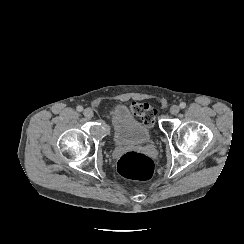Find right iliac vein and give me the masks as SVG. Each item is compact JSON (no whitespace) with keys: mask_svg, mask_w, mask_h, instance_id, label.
<instances>
[{"mask_svg":"<svg viewBox=\"0 0 244 244\" xmlns=\"http://www.w3.org/2000/svg\"><path fill=\"white\" fill-rule=\"evenodd\" d=\"M83 114L86 118H92L94 113L92 111L91 108H86L84 111H83Z\"/></svg>","mask_w":244,"mask_h":244,"instance_id":"1","label":"right iliac vein"}]
</instances>
